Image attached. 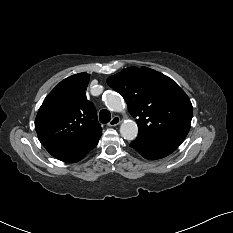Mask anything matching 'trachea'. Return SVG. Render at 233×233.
I'll return each mask as SVG.
<instances>
[{"mask_svg": "<svg viewBox=\"0 0 233 233\" xmlns=\"http://www.w3.org/2000/svg\"><path fill=\"white\" fill-rule=\"evenodd\" d=\"M99 120L101 123H108L111 120V113L106 109L101 110L99 113Z\"/></svg>", "mask_w": 233, "mask_h": 233, "instance_id": "trachea-1", "label": "trachea"}]
</instances>
